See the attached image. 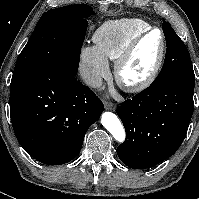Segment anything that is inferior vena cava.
<instances>
[{"label":"inferior vena cava","instance_id":"1","mask_svg":"<svg viewBox=\"0 0 199 199\" xmlns=\"http://www.w3.org/2000/svg\"><path fill=\"white\" fill-rule=\"evenodd\" d=\"M80 74L88 86L92 88H100L102 86V78L88 68H81Z\"/></svg>","mask_w":199,"mask_h":199}]
</instances>
